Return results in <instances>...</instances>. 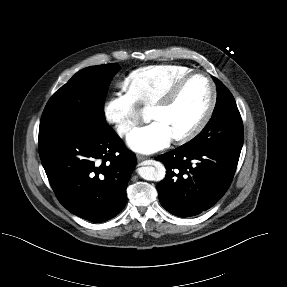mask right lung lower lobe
<instances>
[{
    "mask_svg": "<svg viewBox=\"0 0 287 287\" xmlns=\"http://www.w3.org/2000/svg\"><path fill=\"white\" fill-rule=\"evenodd\" d=\"M39 155L58 200L74 215L100 223L124 208L136 157L112 128L39 142Z\"/></svg>",
    "mask_w": 287,
    "mask_h": 287,
    "instance_id": "right-lung-lower-lobe-1",
    "label": "right lung lower lobe"
}]
</instances>
